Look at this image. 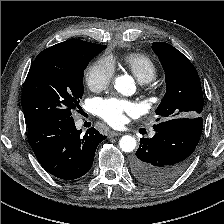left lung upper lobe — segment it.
<instances>
[{"label": "left lung upper lobe", "mask_w": 224, "mask_h": 224, "mask_svg": "<svg viewBox=\"0 0 224 224\" xmlns=\"http://www.w3.org/2000/svg\"><path fill=\"white\" fill-rule=\"evenodd\" d=\"M152 49L165 71L166 93L156 113L163 121L202 115L203 93L193 64L176 48L165 42H154Z\"/></svg>", "instance_id": "5c2ea615"}]
</instances>
